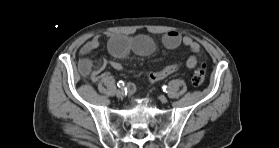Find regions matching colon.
<instances>
[{"label": "colon", "mask_w": 279, "mask_h": 148, "mask_svg": "<svg viewBox=\"0 0 279 148\" xmlns=\"http://www.w3.org/2000/svg\"><path fill=\"white\" fill-rule=\"evenodd\" d=\"M206 66L204 64L199 65L193 72L191 77V83L193 86H200L205 81Z\"/></svg>", "instance_id": "5ec220e1"}]
</instances>
